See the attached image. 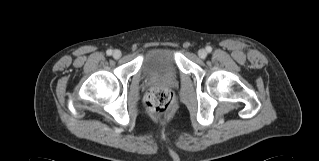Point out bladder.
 Wrapping results in <instances>:
<instances>
[{
    "label": "bladder",
    "mask_w": 319,
    "mask_h": 161,
    "mask_svg": "<svg viewBox=\"0 0 319 161\" xmlns=\"http://www.w3.org/2000/svg\"><path fill=\"white\" fill-rule=\"evenodd\" d=\"M141 72L145 77L157 75L177 77L175 48L171 45H153L147 48L142 57Z\"/></svg>",
    "instance_id": "31cf9c89"
}]
</instances>
